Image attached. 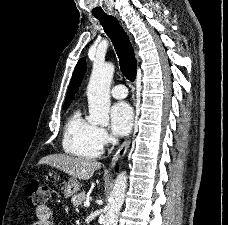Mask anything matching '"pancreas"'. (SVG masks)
Here are the masks:
<instances>
[{
    "mask_svg": "<svg viewBox=\"0 0 228 225\" xmlns=\"http://www.w3.org/2000/svg\"><path fill=\"white\" fill-rule=\"evenodd\" d=\"M86 197L85 191H82V193H78V195H74L72 197L71 203H73L74 207H81L82 203H84Z\"/></svg>",
    "mask_w": 228,
    "mask_h": 225,
    "instance_id": "obj_1",
    "label": "pancreas"
}]
</instances>
